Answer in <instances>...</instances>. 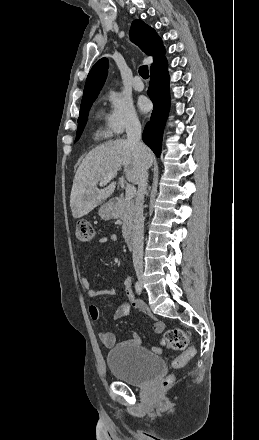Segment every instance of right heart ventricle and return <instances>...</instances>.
I'll return each instance as SVG.
<instances>
[{
	"instance_id": "e07e8e85",
	"label": "right heart ventricle",
	"mask_w": 259,
	"mask_h": 440,
	"mask_svg": "<svg viewBox=\"0 0 259 440\" xmlns=\"http://www.w3.org/2000/svg\"><path fill=\"white\" fill-rule=\"evenodd\" d=\"M108 132L104 130L102 127H97L94 131V138L95 139H103L108 137Z\"/></svg>"
}]
</instances>
